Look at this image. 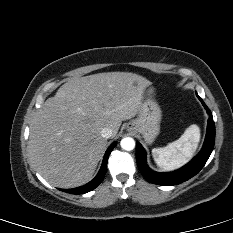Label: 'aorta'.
I'll return each mask as SVG.
<instances>
[{
  "label": "aorta",
  "mask_w": 233,
  "mask_h": 233,
  "mask_svg": "<svg viewBox=\"0 0 233 233\" xmlns=\"http://www.w3.org/2000/svg\"><path fill=\"white\" fill-rule=\"evenodd\" d=\"M121 147L126 151H131L135 148V141L131 137H125L120 142Z\"/></svg>",
  "instance_id": "762f6f07"
}]
</instances>
